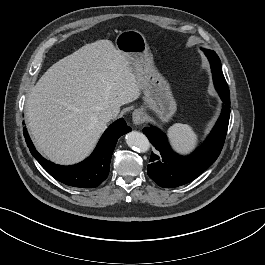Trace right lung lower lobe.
Listing matches in <instances>:
<instances>
[{"label":"right lung lower lobe","instance_id":"1","mask_svg":"<svg viewBox=\"0 0 265 265\" xmlns=\"http://www.w3.org/2000/svg\"><path fill=\"white\" fill-rule=\"evenodd\" d=\"M129 131L131 128L127 126L123 118H120L104 132L89 158L76 165L60 166L43 158L33 146L26 128L23 129L30 152L43 168L56 180L80 188L97 187L107 178L116 142Z\"/></svg>","mask_w":265,"mask_h":265}]
</instances>
